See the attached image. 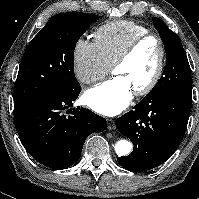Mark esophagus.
Listing matches in <instances>:
<instances>
[{"mask_svg":"<svg viewBox=\"0 0 199 199\" xmlns=\"http://www.w3.org/2000/svg\"><path fill=\"white\" fill-rule=\"evenodd\" d=\"M107 124H108V129H109V130L115 129V122H114L113 119L108 118V119H107Z\"/></svg>","mask_w":199,"mask_h":199,"instance_id":"34e87169","label":"esophagus"}]
</instances>
